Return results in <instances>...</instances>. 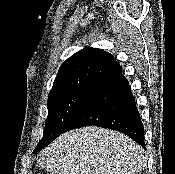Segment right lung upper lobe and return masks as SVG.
Listing matches in <instances>:
<instances>
[{"label":"right lung upper lobe","mask_w":175,"mask_h":174,"mask_svg":"<svg viewBox=\"0 0 175 174\" xmlns=\"http://www.w3.org/2000/svg\"><path fill=\"white\" fill-rule=\"evenodd\" d=\"M120 70L121 66L110 53L86 47L62 64L48 98L74 91H91Z\"/></svg>","instance_id":"obj_1"}]
</instances>
